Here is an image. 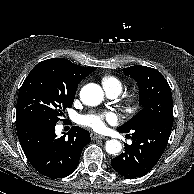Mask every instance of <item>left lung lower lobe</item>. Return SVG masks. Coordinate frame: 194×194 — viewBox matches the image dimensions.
Wrapping results in <instances>:
<instances>
[{
	"instance_id": "0a47b994",
	"label": "left lung lower lobe",
	"mask_w": 194,
	"mask_h": 194,
	"mask_svg": "<svg viewBox=\"0 0 194 194\" xmlns=\"http://www.w3.org/2000/svg\"><path fill=\"white\" fill-rule=\"evenodd\" d=\"M172 125L173 117L152 118L137 122L131 129L132 144L125 145V152L111 160L113 169L129 179L146 175L162 156Z\"/></svg>"
}]
</instances>
